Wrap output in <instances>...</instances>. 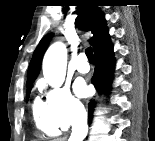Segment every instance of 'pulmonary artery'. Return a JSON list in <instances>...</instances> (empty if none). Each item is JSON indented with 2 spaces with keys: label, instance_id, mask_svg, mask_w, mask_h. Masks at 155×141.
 I'll return each mask as SVG.
<instances>
[{
  "label": "pulmonary artery",
  "instance_id": "1",
  "mask_svg": "<svg viewBox=\"0 0 155 141\" xmlns=\"http://www.w3.org/2000/svg\"><path fill=\"white\" fill-rule=\"evenodd\" d=\"M75 68L80 72V73H87L89 71V65L87 63V58L85 54H80L77 58Z\"/></svg>",
  "mask_w": 155,
  "mask_h": 141
}]
</instances>
